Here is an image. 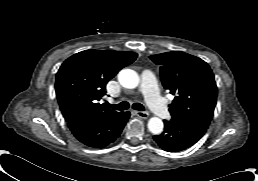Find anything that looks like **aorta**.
Returning a JSON list of instances; mask_svg holds the SVG:
<instances>
[{
  "instance_id": "aorta-1",
  "label": "aorta",
  "mask_w": 258,
  "mask_h": 181,
  "mask_svg": "<svg viewBox=\"0 0 258 181\" xmlns=\"http://www.w3.org/2000/svg\"><path fill=\"white\" fill-rule=\"evenodd\" d=\"M119 83L128 89H134L139 85V76L132 69H123L118 74ZM163 122L158 117H152L148 121V129L153 134H160L163 131Z\"/></svg>"
}]
</instances>
